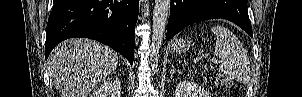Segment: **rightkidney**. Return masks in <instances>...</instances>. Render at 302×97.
I'll list each match as a JSON object with an SVG mask.
<instances>
[{
    "instance_id": "1",
    "label": "right kidney",
    "mask_w": 302,
    "mask_h": 97,
    "mask_svg": "<svg viewBox=\"0 0 302 97\" xmlns=\"http://www.w3.org/2000/svg\"><path fill=\"white\" fill-rule=\"evenodd\" d=\"M121 91V84L118 80L109 79L105 81L93 94L91 97H119Z\"/></svg>"
}]
</instances>
